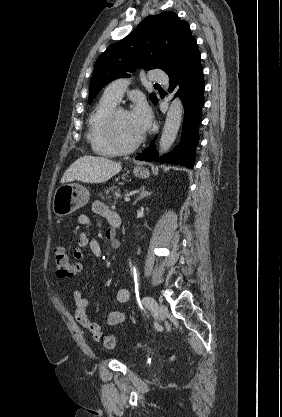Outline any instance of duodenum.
<instances>
[{"label": "duodenum", "instance_id": "obj_1", "mask_svg": "<svg viewBox=\"0 0 282 417\" xmlns=\"http://www.w3.org/2000/svg\"><path fill=\"white\" fill-rule=\"evenodd\" d=\"M114 245L117 247L118 246V243H115Z\"/></svg>", "mask_w": 282, "mask_h": 417}]
</instances>
